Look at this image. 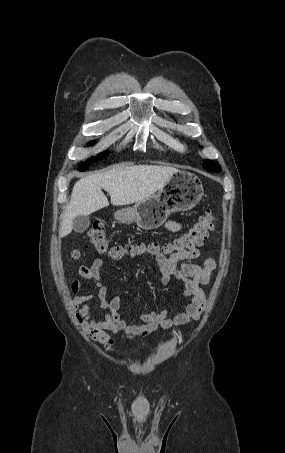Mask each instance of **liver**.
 <instances>
[{
    "label": "liver",
    "instance_id": "6515ba94",
    "mask_svg": "<svg viewBox=\"0 0 285 453\" xmlns=\"http://www.w3.org/2000/svg\"><path fill=\"white\" fill-rule=\"evenodd\" d=\"M179 170L169 166L133 165L89 175L78 180L60 228V237L73 229L76 216H88L109 202L102 189L110 194L115 206L138 203L160 190Z\"/></svg>",
    "mask_w": 285,
    "mask_h": 453
}]
</instances>
